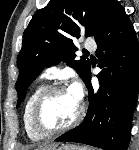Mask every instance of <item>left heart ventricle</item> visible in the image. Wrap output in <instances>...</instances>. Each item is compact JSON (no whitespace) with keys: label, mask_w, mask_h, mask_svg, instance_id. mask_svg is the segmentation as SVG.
Returning <instances> with one entry per match:
<instances>
[{"label":"left heart ventricle","mask_w":139,"mask_h":150,"mask_svg":"<svg viewBox=\"0 0 139 150\" xmlns=\"http://www.w3.org/2000/svg\"><path fill=\"white\" fill-rule=\"evenodd\" d=\"M79 103L69 90L55 92L43 105L41 122L49 128L65 126L74 119Z\"/></svg>","instance_id":"1"}]
</instances>
